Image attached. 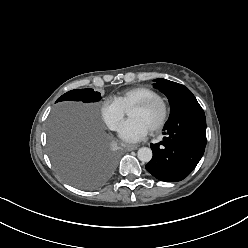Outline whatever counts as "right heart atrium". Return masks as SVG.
Segmentation results:
<instances>
[{
    "label": "right heart atrium",
    "instance_id": "right-heart-atrium-1",
    "mask_svg": "<svg viewBox=\"0 0 248 248\" xmlns=\"http://www.w3.org/2000/svg\"><path fill=\"white\" fill-rule=\"evenodd\" d=\"M99 112L103 122L112 131L119 129L125 116V111L112 99L102 101Z\"/></svg>",
    "mask_w": 248,
    "mask_h": 248
}]
</instances>
